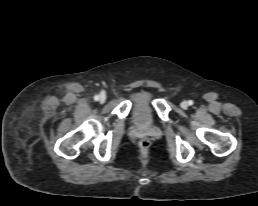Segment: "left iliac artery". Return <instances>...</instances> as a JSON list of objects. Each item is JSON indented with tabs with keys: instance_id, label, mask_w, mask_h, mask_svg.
Returning <instances> with one entry per match:
<instances>
[{
	"instance_id": "1",
	"label": "left iliac artery",
	"mask_w": 258,
	"mask_h": 206,
	"mask_svg": "<svg viewBox=\"0 0 258 206\" xmlns=\"http://www.w3.org/2000/svg\"><path fill=\"white\" fill-rule=\"evenodd\" d=\"M188 104H189V105H193V101H192V100H189V101H188Z\"/></svg>"
}]
</instances>
